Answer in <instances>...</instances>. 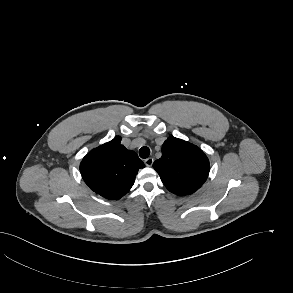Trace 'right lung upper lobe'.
Instances as JSON below:
<instances>
[{
	"mask_svg": "<svg viewBox=\"0 0 293 293\" xmlns=\"http://www.w3.org/2000/svg\"><path fill=\"white\" fill-rule=\"evenodd\" d=\"M118 136L90 151L80 164L86 184L97 194L118 200L131 189L135 177L144 163L134 151L120 144Z\"/></svg>",
	"mask_w": 293,
	"mask_h": 293,
	"instance_id": "right-lung-upper-lobe-1",
	"label": "right lung upper lobe"
}]
</instances>
